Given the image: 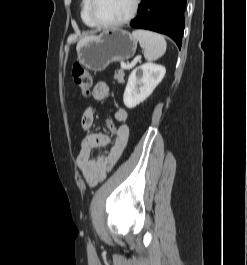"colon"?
Returning a JSON list of instances; mask_svg holds the SVG:
<instances>
[{"instance_id":"obj_1","label":"colon","mask_w":247,"mask_h":265,"mask_svg":"<svg viewBox=\"0 0 247 265\" xmlns=\"http://www.w3.org/2000/svg\"><path fill=\"white\" fill-rule=\"evenodd\" d=\"M72 76L76 86L81 91V93L84 95L89 94L93 84L92 76L89 71L86 70L82 65L76 63L72 67ZM105 126L115 139L118 131V128L115 123L111 119L107 118L105 120ZM115 144L116 141L114 140L111 145V148H113Z\"/></svg>"}]
</instances>
